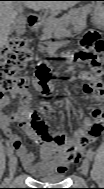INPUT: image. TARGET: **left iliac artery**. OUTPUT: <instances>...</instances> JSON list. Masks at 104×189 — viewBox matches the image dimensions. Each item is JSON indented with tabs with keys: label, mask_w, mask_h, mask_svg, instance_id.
<instances>
[{
	"label": "left iliac artery",
	"mask_w": 104,
	"mask_h": 189,
	"mask_svg": "<svg viewBox=\"0 0 104 189\" xmlns=\"http://www.w3.org/2000/svg\"><path fill=\"white\" fill-rule=\"evenodd\" d=\"M87 157H88L89 160H92L93 157H94V152H93L92 150H89V151L87 152Z\"/></svg>",
	"instance_id": "left-iliac-artery-1"
}]
</instances>
